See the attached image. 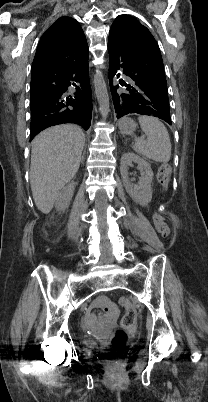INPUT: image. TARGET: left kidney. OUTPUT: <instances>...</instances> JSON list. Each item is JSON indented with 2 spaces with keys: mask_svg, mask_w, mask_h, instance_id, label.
I'll list each match as a JSON object with an SVG mask.
<instances>
[{
  "mask_svg": "<svg viewBox=\"0 0 208 402\" xmlns=\"http://www.w3.org/2000/svg\"><path fill=\"white\" fill-rule=\"evenodd\" d=\"M132 162L138 164V168L141 172L138 184H131L133 180L128 178V166H132ZM120 172L125 190L130 198H132L136 204H140V206H148L149 202L152 200L151 182L154 176L150 164L145 162L140 156L133 154V152H126L121 158Z\"/></svg>",
  "mask_w": 208,
  "mask_h": 402,
  "instance_id": "left-kidney-1",
  "label": "left kidney"
}]
</instances>
